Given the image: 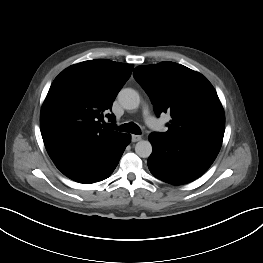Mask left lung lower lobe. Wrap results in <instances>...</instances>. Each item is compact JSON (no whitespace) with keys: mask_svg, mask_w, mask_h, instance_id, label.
I'll return each mask as SVG.
<instances>
[{"mask_svg":"<svg viewBox=\"0 0 263 263\" xmlns=\"http://www.w3.org/2000/svg\"><path fill=\"white\" fill-rule=\"evenodd\" d=\"M153 152L148 158L152 175L164 182L181 185L204 174L214 162L221 145L200 139L165 133H151Z\"/></svg>","mask_w":263,"mask_h":263,"instance_id":"obj_1","label":"left lung lower lobe"}]
</instances>
